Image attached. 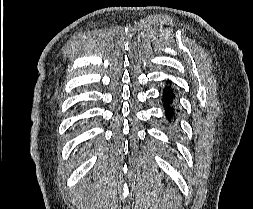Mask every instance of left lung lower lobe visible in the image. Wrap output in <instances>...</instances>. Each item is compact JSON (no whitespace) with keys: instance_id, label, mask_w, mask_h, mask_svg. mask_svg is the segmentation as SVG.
Returning <instances> with one entry per match:
<instances>
[{"instance_id":"0a47b994","label":"left lung lower lobe","mask_w":253,"mask_h":209,"mask_svg":"<svg viewBox=\"0 0 253 209\" xmlns=\"http://www.w3.org/2000/svg\"><path fill=\"white\" fill-rule=\"evenodd\" d=\"M168 83H170L168 81ZM175 93L171 87H165L162 92V102L164 111L169 123L175 118V107H174Z\"/></svg>"}]
</instances>
